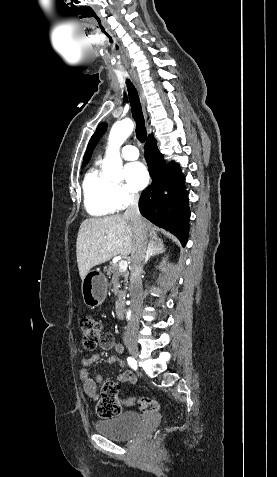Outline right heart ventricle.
<instances>
[{"label": "right heart ventricle", "mask_w": 277, "mask_h": 477, "mask_svg": "<svg viewBox=\"0 0 277 477\" xmlns=\"http://www.w3.org/2000/svg\"><path fill=\"white\" fill-rule=\"evenodd\" d=\"M113 186L100 172L97 163L88 169L82 188L84 207L91 216L104 217L117 210L112 197Z\"/></svg>", "instance_id": "e07e8e85"}]
</instances>
